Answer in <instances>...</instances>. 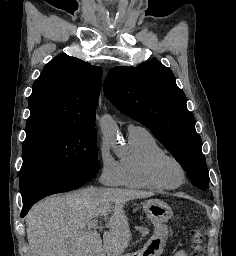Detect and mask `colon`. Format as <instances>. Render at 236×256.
<instances>
[{
	"label": "colon",
	"mask_w": 236,
	"mask_h": 256,
	"mask_svg": "<svg viewBox=\"0 0 236 256\" xmlns=\"http://www.w3.org/2000/svg\"><path fill=\"white\" fill-rule=\"evenodd\" d=\"M190 256H206V252L203 247L202 235L198 230L194 231V238L192 242V250Z\"/></svg>",
	"instance_id": "5ec220e1"
}]
</instances>
